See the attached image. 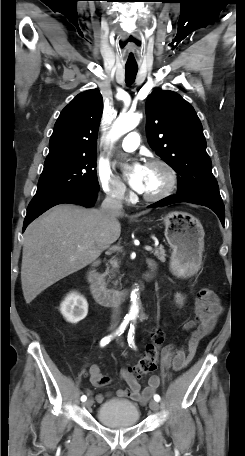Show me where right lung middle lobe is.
Listing matches in <instances>:
<instances>
[{
	"label": "right lung middle lobe",
	"instance_id": "right-lung-middle-lobe-1",
	"mask_svg": "<svg viewBox=\"0 0 245 456\" xmlns=\"http://www.w3.org/2000/svg\"><path fill=\"white\" fill-rule=\"evenodd\" d=\"M95 168L96 155L62 159L45 164L33 199L69 192L99 191Z\"/></svg>",
	"mask_w": 245,
	"mask_h": 456
}]
</instances>
